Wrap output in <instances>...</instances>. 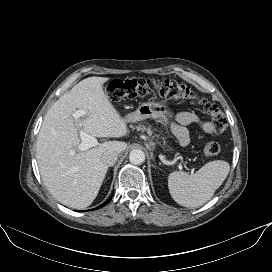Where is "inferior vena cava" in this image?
<instances>
[{
    "label": "inferior vena cava",
    "mask_w": 272,
    "mask_h": 272,
    "mask_svg": "<svg viewBox=\"0 0 272 272\" xmlns=\"http://www.w3.org/2000/svg\"><path fill=\"white\" fill-rule=\"evenodd\" d=\"M118 159V153L114 151H106L102 155V161L107 166H113Z\"/></svg>",
    "instance_id": "602c4592"
}]
</instances>
